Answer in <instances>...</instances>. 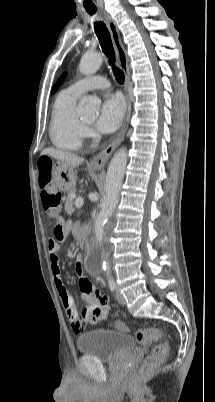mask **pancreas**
Here are the masks:
<instances>
[{"instance_id": "obj_1", "label": "pancreas", "mask_w": 215, "mask_h": 402, "mask_svg": "<svg viewBox=\"0 0 215 402\" xmlns=\"http://www.w3.org/2000/svg\"><path fill=\"white\" fill-rule=\"evenodd\" d=\"M74 194H75V189H71L68 192V196H67L66 203H65V211L67 212V214H72L75 211Z\"/></svg>"}]
</instances>
